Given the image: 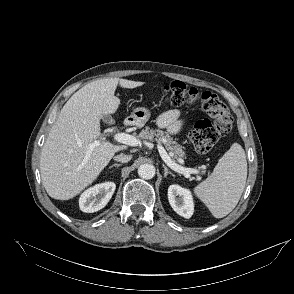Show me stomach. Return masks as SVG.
Masks as SVG:
<instances>
[{
	"mask_svg": "<svg viewBox=\"0 0 294 294\" xmlns=\"http://www.w3.org/2000/svg\"><path fill=\"white\" fill-rule=\"evenodd\" d=\"M151 112L145 107H137L133 110L130 115L132 123L138 127H143L145 123L149 120Z\"/></svg>",
	"mask_w": 294,
	"mask_h": 294,
	"instance_id": "stomach-1",
	"label": "stomach"
}]
</instances>
